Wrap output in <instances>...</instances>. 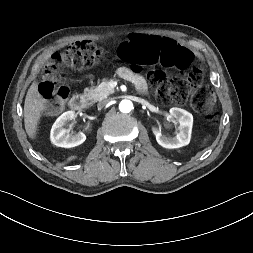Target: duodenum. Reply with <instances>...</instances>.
<instances>
[{"label":"duodenum","mask_w":253,"mask_h":253,"mask_svg":"<svg viewBox=\"0 0 253 253\" xmlns=\"http://www.w3.org/2000/svg\"><path fill=\"white\" fill-rule=\"evenodd\" d=\"M69 104L73 110H84L89 105V98L84 94H76L70 99Z\"/></svg>","instance_id":"duodenum-1"}]
</instances>
